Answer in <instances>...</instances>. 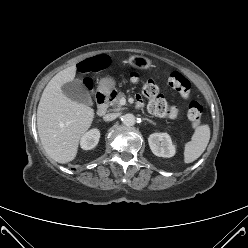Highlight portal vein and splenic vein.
I'll use <instances>...</instances> for the list:
<instances>
[{"mask_svg": "<svg viewBox=\"0 0 248 248\" xmlns=\"http://www.w3.org/2000/svg\"><path fill=\"white\" fill-rule=\"evenodd\" d=\"M125 102H126V101H125L124 99L121 100V104H125Z\"/></svg>", "mask_w": 248, "mask_h": 248, "instance_id": "portal-vein-and-splenic-vein-1", "label": "portal vein and splenic vein"}]
</instances>
